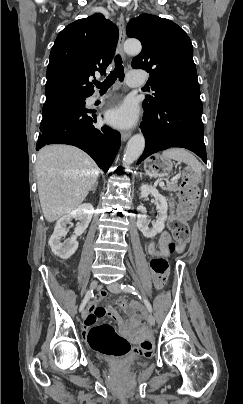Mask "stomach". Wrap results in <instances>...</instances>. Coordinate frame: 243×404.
<instances>
[{
  "label": "stomach",
  "instance_id": "0dacf381",
  "mask_svg": "<svg viewBox=\"0 0 243 404\" xmlns=\"http://www.w3.org/2000/svg\"><path fill=\"white\" fill-rule=\"evenodd\" d=\"M173 168L171 159L155 154L144 162V170L147 175L155 178L168 176Z\"/></svg>",
  "mask_w": 243,
  "mask_h": 404
}]
</instances>
